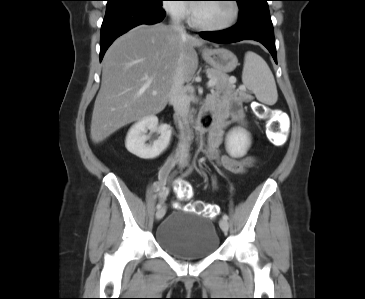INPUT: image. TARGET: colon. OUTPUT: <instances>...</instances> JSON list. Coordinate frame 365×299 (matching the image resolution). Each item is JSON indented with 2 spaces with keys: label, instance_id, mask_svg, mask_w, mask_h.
Instances as JSON below:
<instances>
[{
  "label": "colon",
  "instance_id": "1",
  "mask_svg": "<svg viewBox=\"0 0 365 299\" xmlns=\"http://www.w3.org/2000/svg\"><path fill=\"white\" fill-rule=\"evenodd\" d=\"M228 1V0H227ZM257 114L262 118L268 119L266 134L268 139L275 144H283L286 139L285 126L282 123L280 114H271L268 107L259 104L257 106ZM178 198L180 200L179 206L187 211L203 214L207 217H216L219 209L215 204L194 202L184 205L183 202L190 199L193 195V189L190 184L186 182H178L175 186Z\"/></svg>",
  "mask_w": 365,
  "mask_h": 299
}]
</instances>
